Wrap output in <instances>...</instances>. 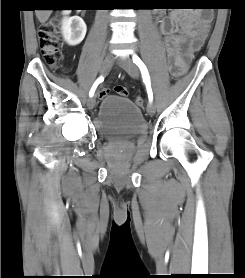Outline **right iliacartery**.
<instances>
[{"label":"right iliac artery","mask_w":245,"mask_h":278,"mask_svg":"<svg viewBox=\"0 0 245 278\" xmlns=\"http://www.w3.org/2000/svg\"><path fill=\"white\" fill-rule=\"evenodd\" d=\"M103 80H104L103 76H100V77L94 82V84H93V86H92V88H91V90H90V92H89V96H90V97H92V96L94 95L97 86L99 85V83L103 82Z\"/></svg>","instance_id":"82829eb1"}]
</instances>
